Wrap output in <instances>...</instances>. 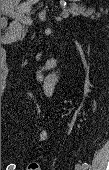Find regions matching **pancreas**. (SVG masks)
<instances>
[{
  "label": "pancreas",
  "mask_w": 109,
  "mask_h": 170,
  "mask_svg": "<svg viewBox=\"0 0 109 170\" xmlns=\"http://www.w3.org/2000/svg\"><path fill=\"white\" fill-rule=\"evenodd\" d=\"M72 14L73 16H80L83 17H91V19L98 18L100 16L99 13L94 12L93 9H86L85 7L72 5L69 9H63V14Z\"/></svg>",
  "instance_id": "obj_1"
}]
</instances>
